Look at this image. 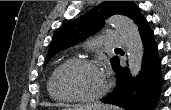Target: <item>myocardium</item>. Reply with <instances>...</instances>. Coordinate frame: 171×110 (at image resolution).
<instances>
[{"label":"myocardium","instance_id":"myocardium-1","mask_svg":"<svg viewBox=\"0 0 171 110\" xmlns=\"http://www.w3.org/2000/svg\"><path fill=\"white\" fill-rule=\"evenodd\" d=\"M71 65L86 66L101 72L100 68L90 60L82 59V58H73V59L66 60L55 69L51 78L52 88L57 97L65 101L93 103L99 101L106 95V93L110 89V82L107 78H105V85L103 89L99 93L93 96H74L63 92L58 85V77L65 68Z\"/></svg>","mask_w":171,"mask_h":110}]
</instances>
